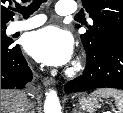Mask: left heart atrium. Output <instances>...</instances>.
<instances>
[{
	"label": "left heart atrium",
	"mask_w": 123,
	"mask_h": 113,
	"mask_svg": "<svg viewBox=\"0 0 123 113\" xmlns=\"http://www.w3.org/2000/svg\"><path fill=\"white\" fill-rule=\"evenodd\" d=\"M26 50L38 62L62 66L72 56L73 39L68 32L48 26L28 35Z\"/></svg>",
	"instance_id": "1"
}]
</instances>
